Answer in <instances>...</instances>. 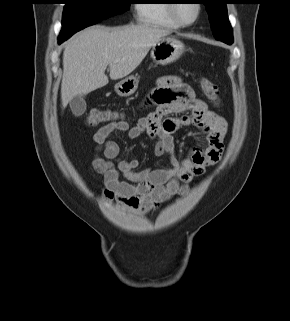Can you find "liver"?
Here are the masks:
<instances>
[{"label":"liver","mask_w":290,"mask_h":321,"mask_svg":"<svg viewBox=\"0 0 290 321\" xmlns=\"http://www.w3.org/2000/svg\"><path fill=\"white\" fill-rule=\"evenodd\" d=\"M170 31L148 25L88 27L70 39L63 52V109L78 95L90 93L132 73L148 51Z\"/></svg>","instance_id":"1"}]
</instances>
